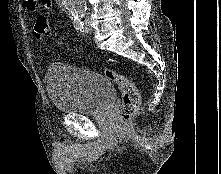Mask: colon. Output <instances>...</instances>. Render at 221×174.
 Wrapping results in <instances>:
<instances>
[{
  "mask_svg": "<svg viewBox=\"0 0 221 174\" xmlns=\"http://www.w3.org/2000/svg\"><path fill=\"white\" fill-rule=\"evenodd\" d=\"M35 33L38 38L46 39L51 35L50 20L47 16H39L35 24ZM104 75L114 82L122 91V104L120 108L121 121L126 125L137 111L140 104V95L135 83L114 70L104 69Z\"/></svg>",
  "mask_w": 221,
  "mask_h": 174,
  "instance_id": "obj_1",
  "label": "colon"
}]
</instances>
